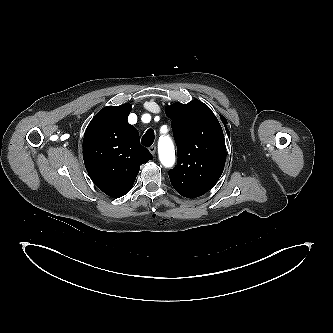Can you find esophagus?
<instances>
[{"mask_svg": "<svg viewBox=\"0 0 333 333\" xmlns=\"http://www.w3.org/2000/svg\"><path fill=\"white\" fill-rule=\"evenodd\" d=\"M149 151H150V153H151L152 155H155V153H156V146H155V145L150 146V147H149Z\"/></svg>", "mask_w": 333, "mask_h": 333, "instance_id": "obj_1", "label": "esophagus"}]
</instances>
